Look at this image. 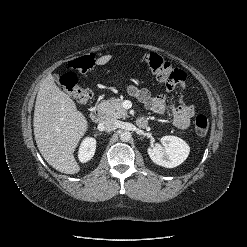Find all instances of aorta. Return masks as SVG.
<instances>
[{
  "instance_id": "762f6f07",
  "label": "aorta",
  "mask_w": 247,
  "mask_h": 247,
  "mask_svg": "<svg viewBox=\"0 0 247 247\" xmlns=\"http://www.w3.org/2000/svg\"><path fill=\"white\" fill-rule=\"evenodd\" d=\"M131 138H132V134H131V132H129V131H123V132H121V134H120V139H121V141H123V142H128V141L131 140Z\"/></svg>"
}]
</instances>
